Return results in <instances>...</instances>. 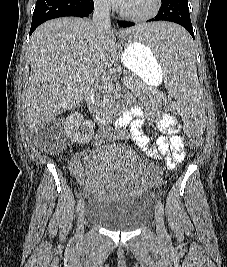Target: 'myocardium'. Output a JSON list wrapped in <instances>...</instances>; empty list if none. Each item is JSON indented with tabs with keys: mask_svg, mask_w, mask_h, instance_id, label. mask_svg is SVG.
Returning a JSON list of instances; mask_svg holds the SVG:
<instances>
[{
	"mask_svg": "<svg viewBox=\"0 0 227 267\" xmlns=\"http://www.w3.org/2000/svg\"><path fill=\"white\" fill-rule=\"evenodd\" d=\"M161 6H162V0H154L152 9L147 13H144V14L129 13L121 6L119 7L118 12L123 18L127 20L135 21V22H142V21L150 20L153 17H155L160 11Z\"/></svg>",
	"mask_w": 227,
	"mask_h": 267,
	"instance_id": "1",
	"label": "myocardium"
}]
</instances>
